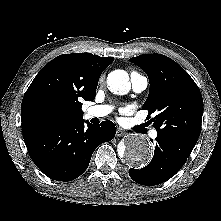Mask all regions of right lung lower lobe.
<instances>
[{
	"label": "right lung lower lobe",
	"instance_id": "98d812e1",
	"mask_svg": "<svg viewBox=\"0 0 221 221\" xmlns=\"http://www.w3.org/2000/svg\"><path fill=\"white\" fill-rule=\"evenodd\" d=\"M87 124L86 128L82 120L25 134L24 141L35 165L57 181H71L80 176L94 150L111 141L116 133L112 121H103L100 126Z\"/></svg>",
	"mask_w": 221,
	"mask_h": 221
}]
</instances>
